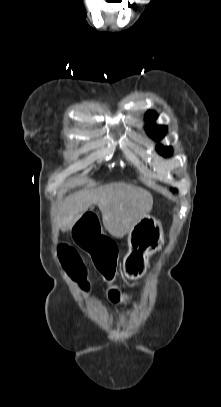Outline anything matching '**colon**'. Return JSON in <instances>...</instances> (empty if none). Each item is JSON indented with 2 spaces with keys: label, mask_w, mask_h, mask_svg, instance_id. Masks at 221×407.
Here are the masks:
<instances>
[{
  "label": "colon",
  "mask_w": 221,
  "mask_h": 407,
  "mask_svg": "<svg viewBox=\"0 0 221 407\" xmlns=\"http://www.w3.org/2000/svg\"><path fill=\"white\" fill-rule=\"evenodd\" d=\"M99 223V216H94L92 210H87L85 216H80L79 220H77L75 230L71 232V237L77 239L78 243L90 252L97 270L107 281H111L115 275L117 253L114 243L103 236V230ZM61 257L72 277L84 289H88L86 268L77 252L69 246H62ZM109 297L111 306H124L127 303L120 291H112Z\"/></svg>",
  "instance_id": "1"
}]
</instances>
